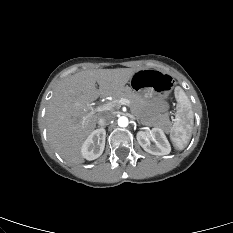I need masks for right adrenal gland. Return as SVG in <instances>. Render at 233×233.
I'll list each match as a JSON object with an SVG mask.
<instances>
[{
  "instance_id": "1",
  "label": "right adrenal gland",
  "mask_w": 233,
  "mask_h": 233,
  "mask_svg": "<svg viewBox=\"0 0 233 233\" xmlns=\"http://www.w3.org/2000/svg\"><path fill=\"white\" fill-rule=\"evenodd\" d=\"M98 127H100L101 129H104V127H103V126H98Z\"/></svg>"
}]
</instances>
